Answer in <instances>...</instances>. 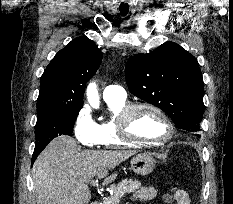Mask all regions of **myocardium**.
I'll return each mask as SVG.
<instances>
[{
	"label": "myocardium",
	"instance_id": "f54148a6",
	"mask_svg": "<svg viewBox=\"0 0 233 204\" xmlns=\"http://www.w3.org/2000/svg\"><path fill=\"white\" fill-rule=\"evenodd\" d=\"M147 109L156 113L166 124L168 134L161 140H145L135 137L130 130L132 119L139 110ZM118 134L120 138L131 145L161 146L168 143L175 134V128L170 117L157 105L148 102H137L127 105L119 114L117 120Z\"/></svg>",
	"mask_w": 233,
	"mask_h": 204
}]
</instances>
